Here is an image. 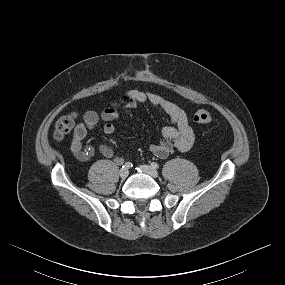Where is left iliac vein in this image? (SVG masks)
Returning <instances> with one entry per match:
<instances>
[{"label":"left iliac vein","instance_id":"1","mask_svg":"<svg viewBox=\"0 0 285 285\" xmlns=\"http://www.w3.org/2000/svg\"><path fill=\"white\" fill-rule=\"evenodd\" d=\"M140 170L145 173L150 175L153 178H157L158 177V172L156 169H154L153 167L149 166V165H141L140 166Z\"/></svg>","mask_w":285,"mask_h":285}]
</instances>
